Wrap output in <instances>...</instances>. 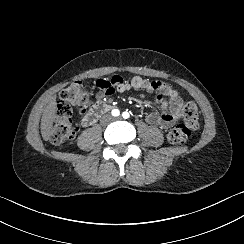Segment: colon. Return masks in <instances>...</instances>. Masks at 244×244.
Segmentation results:
<instances>
[{
  "label": "colon",
  "instance_id": "colon-1",
  "mask_svg": "<svg viewBox=\"0 0 244 244\" xmlns=\"http://www.w3.org/2000/svg\"><path fill=\"white\" fill-rule=\"evenodd\" d=\"M90 90L81 81H73L64 88L58 98L55 113V128L51 135V142L55 145L73 139L76 126L72 121L71 106L78 103H87ZM199 109L194 102L185 101L181 108L183 123L177 125L169 134V139L174 144L186 143L191 131L199 123Z\"/></svg>",
  "mask_w": 244,
  "mask_h": 244
}]
</instances>
